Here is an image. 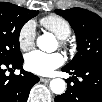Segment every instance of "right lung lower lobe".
I'll use <instances>...</instances> for the list:
<instances>
[{"label": "right lung lower lobe", "instance_id": "obj_1", "mask_svg": "<svg viewBox=\"0 0 102 102\" xmlns=\"http://www.w3.org/2000/svg\"><path fill=\"white\" fill-rule=\"evenodd\" d=\"M22 56L10 62L0 61V100L3 102H26L32 86L39 78L30 72L24 71ZM20 69V75H5L4 67Z\"/></svg>", "mask_w": 102, "mask_h": 102}]
</instances>
